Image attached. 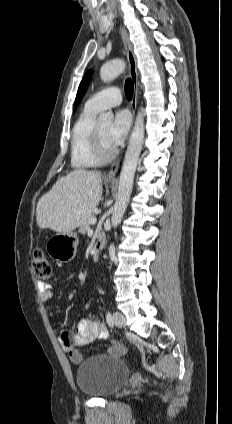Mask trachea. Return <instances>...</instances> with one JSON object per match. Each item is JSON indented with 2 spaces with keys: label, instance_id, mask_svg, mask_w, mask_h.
<instances>
[{
  "label": "trachea",
  "instance_id": "trachea-1",
  "mask_svg": "<svg viewBox=\"0 0 232 424\" xmlns=\"http://www.w3.org/2000/svg\"><path fill=\"white\" fill-rule=\"evenodd\" d=\"M134 85L131 79H127L125 82V93L127 99L131 100L133 97Z\"/></svg>",
  "mask_w": 232,
  "mask_h": 424
}]
</instances>
